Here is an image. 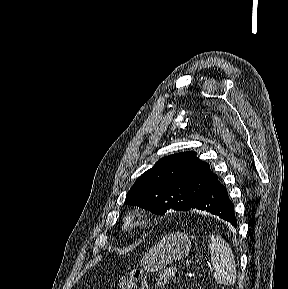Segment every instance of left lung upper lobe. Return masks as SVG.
Masks as SVG:
<instances>
[{
	"label": "left lung upper lobe",
	"mask_w": 288,
	"mask_h": 289,
	"mask_svg": "<svg viewBox=\"0 0 288 289\" xmlns=\"http://www.w3.org/2000/svg\"><path fill=\"white\" fill-rule=\"evenodd\" d=\"M218 177L210 165L196 158V152H181L163 157L133 184L125 203L155 214L188 211Z\"/></svg>",
	"instance_id": "obj_1"
}]
</instances>
